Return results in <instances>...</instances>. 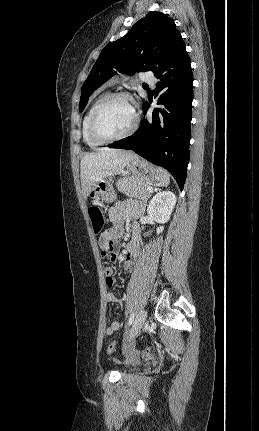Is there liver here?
<instances>
[{
  "mask_svg": "<svg viewBox=\"0 0 259 431\" xmlns=\"http://www.w3.org/2000/svg\"><path fill=\"white\" fill-rule=\"evenodd\" d=\"M138 158L132 151L101 148L97 152L85 155L80 163V177L83 195L88 197L89 191L96 183L109 176L122 173L126 165Z\"/></svg>",
  "mask_w": 259,
  "mask_h": 431,
  "instance_id": "6515ba94",
  "label": "liver"
}]
</instances>
